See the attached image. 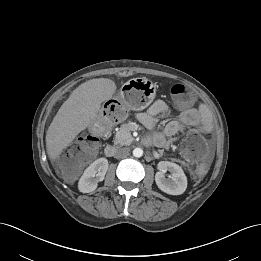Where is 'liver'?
I'll return each mask as SVG.
<instances>
[{
    "label": "liver",
    "instance_id": "1",
    "mask_svg": "<svg viewBox=\"0 0 261 261\" xmlns=\"http://www.w3.org/2000/svg\"><path fill=\"white\" fill-rule=\"evenodd\" d=\"M116 88L111 79L97 78L82 83L70 94L46 133V149L51 160L59 157L81 131L94 123L101 103L110 99Z\"/></svg>",
    "mask_w": 261,
    "mask_h": 261
}]
</instances>
